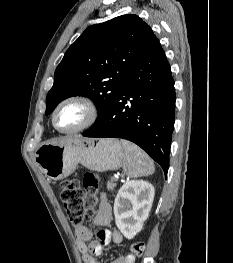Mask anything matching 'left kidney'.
I'll use <instances>...</instances> for the list:
<instances>
[{
  "label": "left kidney",
  "mask_w": 233,
  "mask_h": 263,
  "mask_svg": "<svg viewBox=\"0 0 233 263\" xmlns=\"http://www.w3.org/2000/svg\"><path fill=\"white\" fill-rule=\"evenodd\" d=\"M155 189L147 181L130 180L119 189L114 202L115 222L127 239L139 233L149 216Z\"/></svg>",
  "instance_id": "left-kidney-1"
}]
</instances>
